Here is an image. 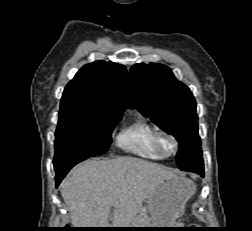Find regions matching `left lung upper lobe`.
Returning a JSON list of instances; mask_svg holds the SVG:
<instances>
[{
    "label": "left lung upper lobe",
    "instance_id": "1",
    "mask_svg": "<svg viewBox=\"0 0 252 231\" xmlns=\"http://www.w3.org/2000/svg\"><path fill=\"white\" fill-rule=\"evenodd\" d=\"M126 101L180 144L176 155L182 170L203 166L196 102L190 89L162 64H135L130 70Z\"/></svg>",
    "mask_w": 252,
    "mask_h": 231
}]
</instances>
